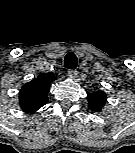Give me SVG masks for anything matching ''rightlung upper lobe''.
Returning <instances> with one entry per match:
<instances>
[{"label":"right lung upper lobe","instance_id":"obj_1","mask_svg":"<svg viewBox=\"0 0 135 153\" xmlns=\"http://www.w3.org/2000/svg\"><path fill=\"white\" fill-rule=\"evenodd\" d=\"M54 79L53 73H42L22 86L19 100L24 112L34 113L47 103V94Z\"/></svg>","mask_w":135,"mask_h":153}]
</instances>
